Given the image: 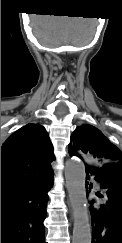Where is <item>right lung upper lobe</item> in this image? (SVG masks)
I'll return each mask as SVG.
<instances>
[{
  "label": "right lung upper lobe",
  "instance_id": "obj_1",
  "mask_svg": "<svg viewBox=\"0 0 122 243\" xmlns=\"http://www.w3.org/2000/svg\"><path fill=\"white\" fill-rule=\"evenodd\" d=\"M54 159L53 146L43 126L27 124L20 128L1 148V193L53 172Z\"/></svg>",
  "mask_w": 122,
  "mask_h": 243
}]
</instances>
